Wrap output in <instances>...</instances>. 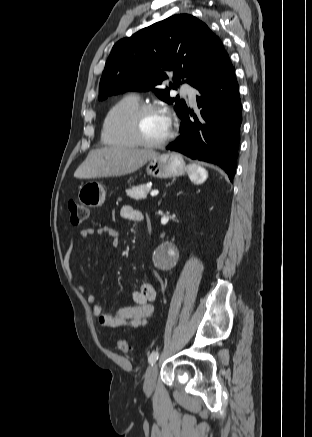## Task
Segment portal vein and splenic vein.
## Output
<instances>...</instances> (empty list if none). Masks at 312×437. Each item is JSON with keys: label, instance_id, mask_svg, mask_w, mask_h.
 <instances>
[{"label": "portal vein and splenic vein", "instance_id": "portal-vein-and-splenic-vein-1", "mask_svg": "<svg viewBox=\"0 0 312 437\" xmlns=\"http://www.w3.org/2000/svg\"><path fill=\"white\" fill-rule=\"evenodd\" d=\"M150 194H151V196H157L159 194V191L153 190Z\"/></svg>", "mask_w": 312, "mask_h": 437}]
</instances>
